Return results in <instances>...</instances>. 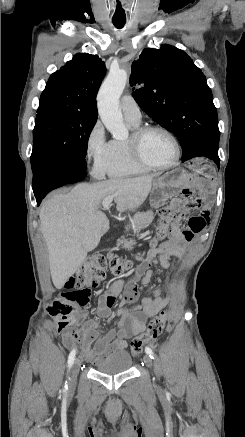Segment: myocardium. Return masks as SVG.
Here are the masks:
<instances>
[{
	"label": "myocardium",
	"mask_w": 245,
	"mask_h": 437,
	"mask_svg": "<svg viewBox=\"0 0 245 437\" xmlns=\"http://www.w3.org/2000/svg\"><path fill=\"white\" fill-rule=\"evenodd\" d=\"M153 130H157V131L164 133L166 136L169 137V139L172 141V143L174 145L175 156H174L173 160L168 164H155V163L149 162L141 154L140 140L144 134H146L149 131H153ZM126 142H127V147H128V150H129L131 157L140 165L147 167V168H150V169L163 170V169L172 168L178 163L180 156H181V147H180V143H179L177 137L169 129H167L166 127L161 126V125L149 124V125L138 126L135 129H133L132 133L130 134V136L126 140Z\"/></svg>",
	"instance_id": "obj_1"
}]
</instances>
